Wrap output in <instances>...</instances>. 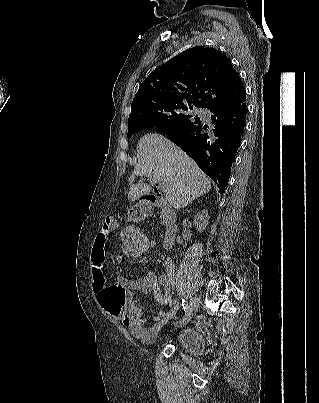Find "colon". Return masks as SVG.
Returning a JSON list of instances; mask_svg holds the SVG:
<instances>
[{
	"label": "colon",
	"mask_w": 319,
	"mask_h": 403,
	"mask_svg": "<svg viewBox=\"0 0 319 403\" xmlns=\"http://www.w3.org/2000/svg\"><path fill=\"white\" fill-rule=\"evenodd\" d=\"M154 234H145L144 226H125L123 231L124 260H141L142 254H153L156 249Z\"/></svg>",
	"instance_id": "5ec220e1"
}]
</instances>
